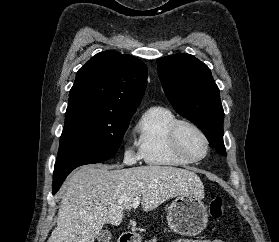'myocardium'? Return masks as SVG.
I'll return each instance as SVG.
<instances>
[{
  "mask_svg": "<svg viewBox=\"0 0 279 242\" xmlns=\"http://www.w3.org/2000/svg\"><path fill=\"white\" fill-rule=\"evenodd\" d=\"M185 127L194 130L202 138L205 144V152L202 156L192 157L183 149L180 134L181 130ZM169 141L175 154L188 163H197L202 161L208 155L210 150V141L204 130L200 126L189 120H177L172 125L169 131Z\"/></svg>",
  "mask_w": 279,
  "mask_h": 242,
  "instance_id": "obj_1",
  "label": "myocardium"
}]
</instances>
